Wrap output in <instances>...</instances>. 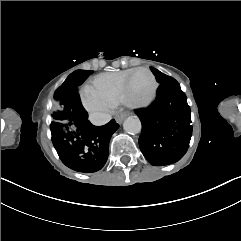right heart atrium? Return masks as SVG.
<instances>
[{
	"instance_id": "1",
	"label": "right heart atrium",
	"mask_w": 241,
	"mask_h": 241,
	"mask_svg": "<svg viewBox=\"0 0 241 241\" xmlns=\"http://www.w3.org/2000/svg\"><path fill=\"white\" fill-rule=\"evenodd\" d=\"M80 98L84 108L92 115H105L113 110V105L99 95L89 96L82 91Z\"/></svg>"
}]
</instances>
